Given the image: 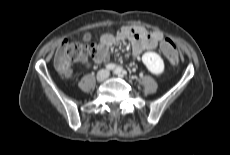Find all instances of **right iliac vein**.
Segmentation results:
<instances>
[{"instance_id": "right-iliac-vein-1", "label": "right iliac vein", "mask_w": 230, "mask_h": 155, "mask_svg": "<svg viewBox=\"0 0 230 155\" xmlns=\"http://www.w3.org/2000/svg\"><path fill=\"white\" fill-rule=\"evenodd\" d=\"M105 78H106V74H105L104 71H101V72H99V73L97 74V81H98V82L104 81Z\"/></svg>"}]
</instances>
